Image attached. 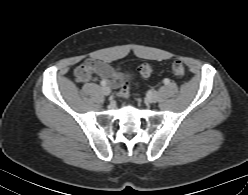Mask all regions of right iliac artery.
I'll list each match as a JSON object with an SVG mask.
<instances>
[{
    "mask_svg": "<svg viewBox=\"0 0 248 195\" xmlns=\"http://www.w3.org/2000/svg\"><path fill=\"white\" fill-rule=\"evenodd\" d=\"M101 85L102 86H105L106 85V82L105 81H101Z\"/></svg>",
    "mask_w": 248,
    "mask_h": 195,
    "instance_id": "82829eb1",
    "label": "right iliac artery"
}]
</instances>
